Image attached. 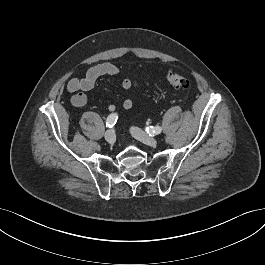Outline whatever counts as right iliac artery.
I'll list each match as a JSON object with an SVG mask.
<instances>
[{
    "label": "right iliac artery",
    "instance_id": "right-iliac-artery-1",
    "mask_svg": "<svg viewBox=\"0 0 265 265\" xmlns=\"http://www.w3.org/2000/svg\"><path fill=\"white\" fill-rule=\"evenodd\" d=\"M117 119L118 115L116 113L110 114L106 120V126L112 128L116 124Z\"/></svg>",
    "mask_w": 265,
    "mask_h": 265
}]
</instances>
